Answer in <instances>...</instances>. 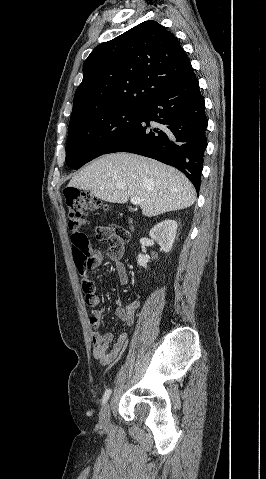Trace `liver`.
I'll return each instance as SVG.
<instances>
[{
	"label": "liver",
	"instance_id": "liver-1",
	"mask_svg": "<svg viewBox=\"0 0 266 479\" xmlns=\"http://www.w3.org/2000/svg\"><path fill=\"white\" fill-rule=\"evenodd\" d=\"M68 186L112 203L139 197L141 212L147 217L185 209L196 200L195 189L183 173L154 159L125 152L95 159Z\"/></svg>",
	"mask_w": 266,
	"mask_h": 479
}]
</instances>
